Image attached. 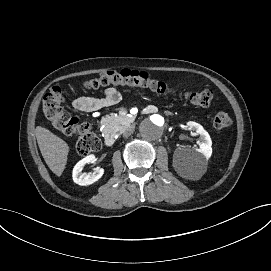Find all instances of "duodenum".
Listing matches in <instances>:
<instances>
[{"mask_svg": "<svg viewBox=\"0 0 271 271\" xmlns=\"http://www.w3.org/2000/svg\"><path fill=\"white\" fill-rule=\"evenodd\" d=\"M104 144L107 146V147H111L115 144V137L113 134L111 133H108L104 136Z\"/></svg>", "mask_w": 271, "mask_h": 271, "instance_id": "410a0bca", "label": "duodenum"}]
</instances>
